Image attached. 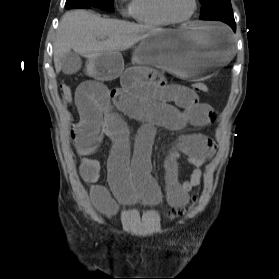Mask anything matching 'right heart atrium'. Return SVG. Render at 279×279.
Listing matches in <instances>:
<instances>
[{"label":"right heart atrium","instance_id":"right-heart-atrium-1","mask_svg":"<svg viewBox=\"0 0 279 279\" xmlns=\"http://www.w3.org/2000/svg\"><path fill=\"white\" fill-rule=\"evenodd\" d=\"M132 8H131V3L128 4L127 9L124 11L126 14H131Z\"/></svg>","mask_w":279,"mask_h":279}]
</instances>
